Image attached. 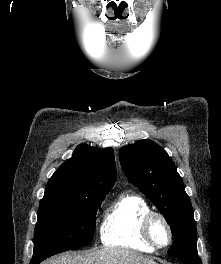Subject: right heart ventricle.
<instances>
[{"label": "right heart ventricle", "instance_id": "e07e8e85", "mask_svg": "<svg viewBox=\"0 0 221 264\" xmlns=\"http://www.w3.org/2000/svg\"><path fill=\"white\" fill-rule=\"evenodd\" d=\"M150 211L143 197L133 192L121 193L105 211L100 228L101 242L109 247H122L153 252L141 233L144 215Z\"/></svg>", "mask_w": 221, "mask_h": 264}]
</instances>
